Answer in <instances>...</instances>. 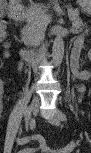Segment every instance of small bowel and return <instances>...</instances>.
<instances>
[{
  "mask_svg": "<svg viewBox=\"0 0 91 153\" xmlns=\"http://www.w3.org/2000/svg\"><path fill=\"white\" fill-rule=\"evenodd\" d=\"M0 36L1 37H5L6 36V30L5 29L0 30ZM73 74H74V76H77L78 75V70H74ZM80 91L82 92L81 88H80ZM35 138L39 141V145H41L40 149L43 152H47V153H71L76 148V143L75 142H71V143H69L68 145H66L63 148L51 149L48 146H45L46 145V141L42 137L36 136ZM27 141H28L27 138H19V137L15 138V142H16L17 145H23Z\"/></svg>",
  "mask_w": 91,
  "mask_h": 153,
  "instance_id": "obj_1",
  "label": "small bowel"
}]
</instances>
